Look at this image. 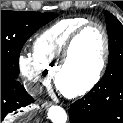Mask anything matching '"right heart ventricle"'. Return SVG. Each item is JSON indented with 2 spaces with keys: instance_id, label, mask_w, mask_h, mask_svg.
<instances>
[{
  "instance_id": "right-heart-ventricle-1",
  "label": "right heart ventricle",
  "mask_w": 123,
  "mask_h": 123,
  "mask_svg": "<svg viewBox=\"0 0 123 123\" xmlns=\"http://www.w3.org/2000/svg\"><path fill=\"white\" fill-rule=\"evenodd\" d=\"M87 18L72 17L60 20L44 30L33 43V55L41 66L53 71L71 34L88 22Z\"/></svg>"
}]
</instances>
